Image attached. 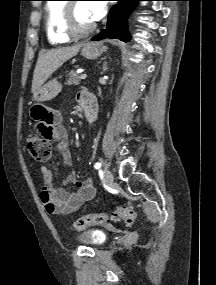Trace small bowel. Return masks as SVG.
<instances>
[{"label": "small bowel", "mask_w": 216, "mask_h": 285, "mask_svg": "<svg viewBox=\"0 0 216 285\" xmlns=\"http://www.w3.org/2000/svg\"><path fill=\"white\" fill-rule=\"evenodd\" d=\"M77 98L82 108L87 103L96 104L94 96L88 91L80 92ZM31 115L37 127L33 128V133H36V136H43V141L57 142L63 162L69 165L71 156L68 148V134L62 125L61 114L54 109L37 104L33 106ZM41 172L43 187L40 200L50 215L61 216L72 213L95 196L96 190L90 178L75 180L72 175H68L64 184L74 183L77 187L75 192H69L64 187L55 185L54 175L46 165L41 167Z\"/></svg>", "instance_id": "small-bowel-1"}]
</instances>
